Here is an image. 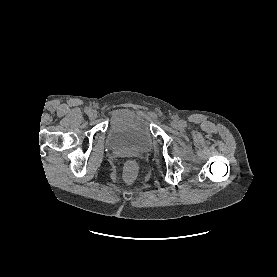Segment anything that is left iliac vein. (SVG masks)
Returning a JSON list of instances; mask_svg holds the SVG:
<instances>
[{"label": "left iliac vein", "instance_id": "left-iliac-vein-1", "mask_svg": "<svg viewBox=\"0 0 277 277\" xmlns=\"http://www.w3.org/2000/svg\"><path fill=\"white\" fill-rule=\"evenodd\" d=\"M171 126L174 128V129H179L181 127V123L178 121V120H173L171 122Z\"/></svg>", "mask_w": 277, "mask_h": 277}]
</instances>
